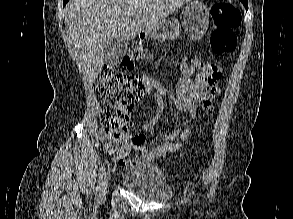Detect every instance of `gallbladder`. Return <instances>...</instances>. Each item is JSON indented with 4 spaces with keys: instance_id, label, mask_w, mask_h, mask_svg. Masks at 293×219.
Wrapping results in <instances>:
<instances>
[{
    "instance_id": "bac80fb5",
    "label": "gallbladder",
    "mask_w": 293,
    "mask_h": 219,
    "mask_svg": "<svg viewBox=\"0 0 293 219\" xmlns=\"http://www.w3.org/2000/svg\"><path fill=\"white\" fill-rule=\"evenodd\" d=\"M128 47V40L125 37L115 38L107 47L104 62L112 67L119 63L125 56Z\"/></svg>"
}]
</instances>
